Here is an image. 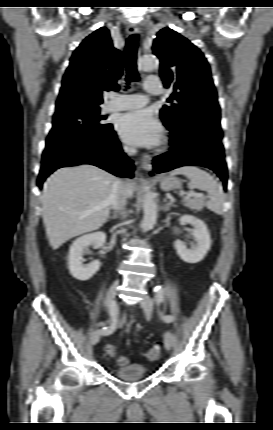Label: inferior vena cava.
<instances>
[{
    "instance_id": "inferior-vena-cava-1",
    "label": "inferior vena cava",
    "mask_w": 273,
    "mask_h": 430,
    "mask_svg": "<svg viewBox=\"0 0 273 430\" xmlns=\"http://www.w3.org/2000/svg\"><path fill=\"white\" fill-rule=\"evenodd\" d=\"M125 151L129 155H133L136 153V150L134 148L126 147ZM109 203L111 208H113L116 211H119L123 218L127 216V213L125 211V206L127 204V195L124 190V182L118 178L115 179L111 193L109 196Z\"/></svg>"
}]
</instances>
